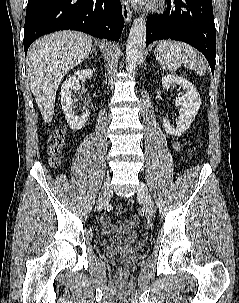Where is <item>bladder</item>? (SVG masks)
Here are the masks:
<instances>
[{"instance_id": "obj_1", "label": "bladder", "mask_w": 239, "mask_h": 303, "mask_svg": "<svg viewBox=\"0 0 239 303\" xmlns=\"http://www.w3.org/2000/svg\"><path fill=\"white\" fill-rule=\"evenodd\" d=\"M138 235L136 233H126L115 237L112 241H119L126 244H133L136 242Z\"/></svg>"}]
</instances>
